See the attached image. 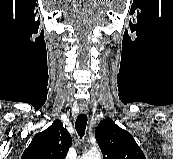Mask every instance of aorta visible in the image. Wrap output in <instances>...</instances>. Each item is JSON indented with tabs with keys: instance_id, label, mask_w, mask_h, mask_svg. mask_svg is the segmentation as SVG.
Wrapping results in <instances>:
<instances>
[{
	"instance_id": "aorta-1",
	"label": "aorta",
	"mask_w": 173,
	"mask_h": 159,
	"mask_svg": "<svg viewBox=\"0 0 173 159\" xmlns=\"http://www.w3.org/2000/svg\"><path fill=\"white\" fill-rule=\"evenodd\" d=\"M81 159H101V153L96 149L90 150L84 154Z\"/></svg>"
}]
</instances>
